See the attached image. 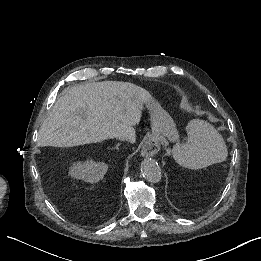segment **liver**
<instances>
[{"instance_id":"6515ba94","label":"liver","mask_w":261,"mask_h":261,"mask_svg":"<svg viewBox=\"0 0 261 261\" xmlns=\"http://www.w3.org/2000/svg\"><path fill=\"white\" fill-rule=\"evenodd\" d=\"M151 95L125 82L89 83L67 88L43 122L41 146L75 147L118 139L135 143L134 126L141 123Z\"/></svg>"}]
</instances>
